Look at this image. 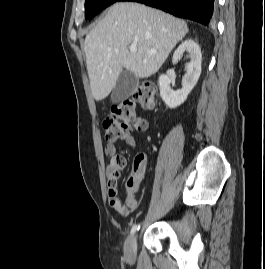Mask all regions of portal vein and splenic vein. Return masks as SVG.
Listing matches in <instances>:
<instances>
[{
  "label": "portal vein and splenic vein",
  "instance_id": "portal-vein-and-splenic-vein-1",
  "mask_svg": "<svg viewBox=\"0 0 265 269\" xmlns=\"http://www.w3.org/2000/svg\"><path fill=\"white\" fill-rule=\"evenodd\" d=\"M129 50H130V52H132V53H136L137 52V47L136 46H129ZM156 51H154V50H151V51H149V52H147V54L148 55H151V54H154Z\"/></svg>",
  "mask_w": 265,
  "mask_h": 269
}]
</instances>
